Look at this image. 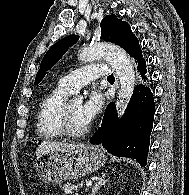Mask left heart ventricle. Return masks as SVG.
I'll list each match as a JSON object with an SVG mask.
<instances>
[{"instance_id":"1","label":"left heart ventricle","mask_w":189,"mask_h":195,"mask_svg":"<svg viewBox=\"0 0 189 195\" xmlns=\"http://www.w3.org/2000/svg\"><path fill=\"white\" fill-rule=\"evenodd\" d=\"M68 108L72 127L76 130L85 129L88 125L83 121L81 117V104L78 102H72L68 104Z\"/></svg>"}]
</instances>
